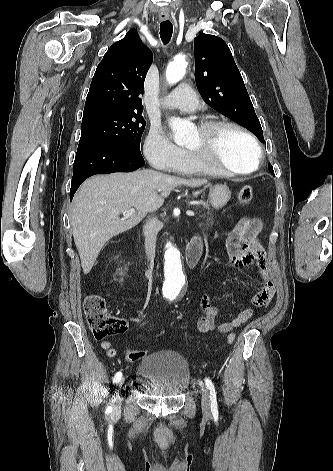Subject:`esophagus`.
I'll return each instance as SVG.
<instances>
[{
  "instance_id": "1",
  "label": "esophagus",
  "mask_w": 333,
  "mask_h": 471,
  "mask_svg": "<svg viewBox=\"0 0 333 471\" xmlns=\"http://www.w3.org/2000/svg\"><path fill=\"white\" fill-rule=\"evenodd\" d=\"M159 18H160L161 21H166V20L169 19V16H167V15H160Z\"/></svg>"
}]
</instances>
